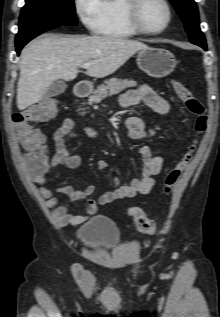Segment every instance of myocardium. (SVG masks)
I'll return each mask as SVG.
<instances>
[{"instance_id": "myocardium-1", "label": "myocardium", "mask_w": 220, "mask_h": 317, "mask_svg": "<svg viewBox=\"0 0 220 317\" xmlns=\"http://www.w3.org/2000/svg\"><path fill=\"white\" fill-rule=\"evenodd\" d=\"M146 0H127L125 5L127 19L130 25L141 34L157 35L163 33L171 24L173 18L172 6L168 0H160L167 11V20L165 25L160 29H149L142 22L141 10Z\"/></svg>"}]
</instances>
